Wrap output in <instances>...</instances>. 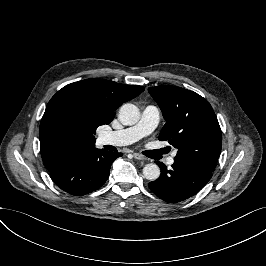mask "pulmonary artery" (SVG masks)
I'll list each match as a JSON object with an SVG mask.
<instances>
[{
    "instance_id": "e3ab8cb5",
    "label": "pulmonary artery",
    "mask_w": 266,
    "mask_h": 266,
    "mask_svg": "<svg viewBox=\"0 0 266 266\" xmlns=\"http://www.w3.org/2000/svg\"><path fill=\"white\" fill-rule=\"evenodd\" d=\"M160 119V111L155 105L146 106L141 114L140 120L133 126L109 131L101 135V143L104 145L126 146L130 145L139 139L149 135L157 127ZM177 151L175 150L166 163L171 166L174 163V157Z\"/></svg>"
}]
</instances>
